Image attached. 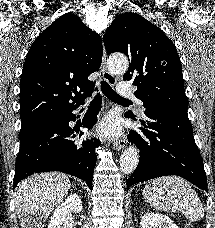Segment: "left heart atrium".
<instances>
[{
    "label": "left heart atrium",
    "instance_id": "1",
    "mask_svg": "<svg viewBox=\"0 0 215 228\" xmlns=\"http://www.w3.org/2000/svg\"><path fill=\"white\" fill-rule=\"evenodd\" d=\"M95 132L103 138H115L121 133L118 119L115 116H106L96 127Z\"/></svg>",
    "mask_w": 215,
    "mask_h": 228
}]
</instances>
